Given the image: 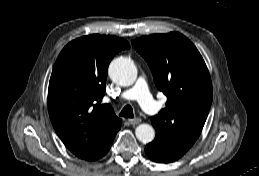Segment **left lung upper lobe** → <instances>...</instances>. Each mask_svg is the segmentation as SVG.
Segmentation results:
<instances>
[{
  "mask_svg": "<svg viewBox=\"0 0 259 176\" xmlns=\"http://www.w3.org/2000/svg\"><path fill=\"white\" fill-rule=\"evenodd\" d=\"M132 45L148 63L157 88L167 96L165 109L151 118L155 138L179 149L191 148L205 124L213 96L202 56L178 32L143 36Z\"/></svg>",
  "mask_w": 259,
  "mask_h": 176,
  "instance_id": "5c2ea615",
  "label": "left lung upper lobe"
}]
</instances>
